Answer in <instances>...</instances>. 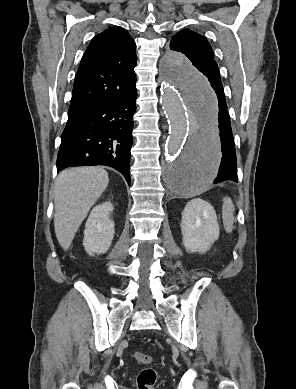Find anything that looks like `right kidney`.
<instances>
[{
	"label": "right kidney",
	"mask_w": 296,
	"mask_h": 389,
	"mask_svg": "<svg viewBox=\"0 0 296 389\" xmlns=\"http://www.w3.org/2000/svg\"><path fill=\"white\" fill-rule=\"evenodd\" d=\"M113 205L110 201L95 206L85 225L83 246L93 256L104 254L112 244L115 234V223L110 219Z\"/></svg>",
	"instance_id": "ca27d5eb"
}]
</instances>
